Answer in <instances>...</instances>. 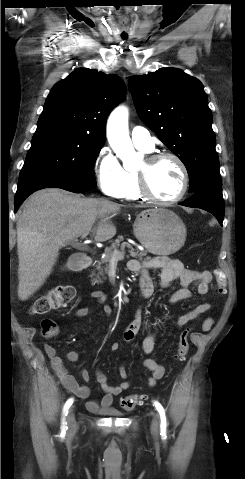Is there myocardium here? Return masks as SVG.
<instances>
[{
  "label": "myocardium",
  "mask_w": 245,
  "mask_h": 479,
  "mask_svg": "<svg viewBox=\"0 0 245 479\" xmlns=\"http://www.w3.org/2000/svg\"><path fill=\"white\" fill-rule=\"evenodd\" d=\"M163 159H172L174 162H176V164L180 168L181 175H182V186L179 193L174 198L169 200H163L158 198L152 192L149 185L150 170L157 162ZM137 177H138V190L140 195L147 201L158 204V205L169 206L179 202L186 195L189 188L190 177H189V172H188V168L186 164L184 163V161L182 160L180 156L168 151L156 152L149 155L145 159L143 167L139 171H137Z\"/></svg>",
  "instance_id": "myocardium-1"
}]
</instances>
